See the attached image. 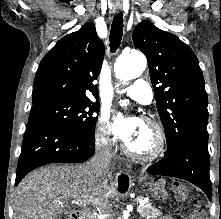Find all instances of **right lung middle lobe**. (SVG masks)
Returning <instances> with one entry per match:
<instances>
[{
	"label": "right lung middle lobe",
	"mask_w": 221,
	"mask_h": 219,
	"mask_svg": "<svg viewBox=\"0 0 221 219\" xmlns=\"http://www.w3.org/2000/svg\"><path fill=\"white\" fill-rule=\"evenodd\" d=\"M99 103L91 100L51 98L33 102L30 120H41L80 136L94 139Z\"/></svg>",
	"instance_id": "obj_1"
}]
</instances>
